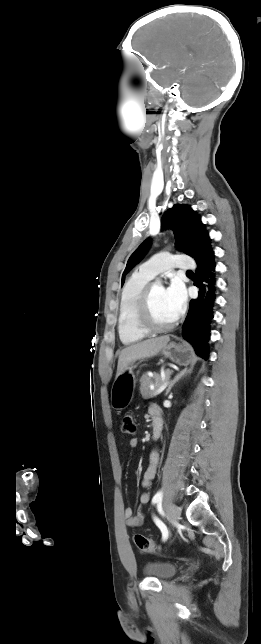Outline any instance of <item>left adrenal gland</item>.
Masks as SVG:
<instances>
[{
	"label": "left adrenal gland",
	"mask_w": 261,
	"mask_h": 644,
	"mask_svg": "<svg viewBox=\"0 0 261 644\" xmlns=\"http://www.w3.org/2000/svg\"><path fill=\"white\" fill-rule=\"evenodd\" d=\"M191 371H192V369H183L182 371H180L179 373H177V374H176V376L173 378V380H171V382L169 383V385H168V388H167V390H166L165 395L167 396V395L169 394V392H170L171 388H172V387H173V386H174V385H175V384H176V383H177L181 378H183V377L187 376L188 374H190V373H191Z\"/></svg>",
	"instance_id": "left-adrenal-gland-1"
}]
</instances>
